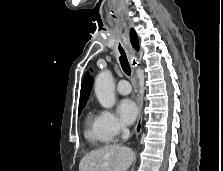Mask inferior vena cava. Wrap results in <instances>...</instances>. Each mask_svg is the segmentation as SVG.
Returning <instances> with one entry per match:
<instances>
[{
    "instance_id": "inferior-vena-cava-1",
    "label": "inferior vena cava",
    "mask_w": 223,
    "mask_h": 171,
    "mask_svg": "<svg viewBox=\"0 0 223 171\" xmlns=\"http://www.w3.org/2000/svg\"><path fill=\"white\" fill-rule=\"evenodd\" d=\"M129 136H130L129 129L127 127H125V126H122V138H123V140L124 141L128 140Z\"/></svg>"
}]
</instances>
